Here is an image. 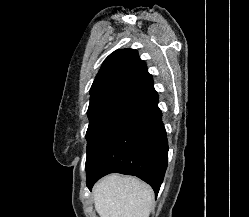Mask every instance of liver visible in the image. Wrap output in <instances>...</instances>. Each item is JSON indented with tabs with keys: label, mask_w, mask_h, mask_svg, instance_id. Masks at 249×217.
<instances>
[{
	"label": "liver",
	"mask_w": 249,
	"mask_h": 217,
	"mask_svg": "<svg viewBox=\"0 0 249 217\" xmlns=\"http://www.w3.org/2000/svg\"><path fill=\"white\" fill-rule=\"evenodd\" d=\"M93 196L100 217H149L154 192L137 178L112 174L94 186Z\"/></svg>",
	"instance_id": "1"
}]
</instances>
